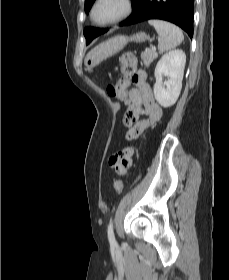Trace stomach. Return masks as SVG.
<instances>
[{
    "label": "stomach",
    "instance_id": "1",
    "mask_svg": "<svg viewBox=\"0 0 229 280\" xmlns=\"http://www.w3.org/2000/svg\"><path fill=\"white\" fill-rule=\"evenodd\" d=\"M149 37L144 32L136 33L130 37L118 35L101 43L87 53L84 58V65L88 71L97 66L103 60L121 51L128 42H144Z\"/></svg>",
    "mask_w": 229,
    "mask_h": 280
}]
</instances>
